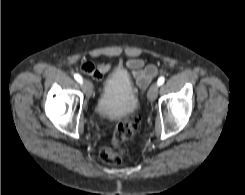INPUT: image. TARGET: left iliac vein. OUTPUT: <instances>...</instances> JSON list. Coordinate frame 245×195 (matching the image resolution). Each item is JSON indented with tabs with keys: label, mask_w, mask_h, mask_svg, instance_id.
<instances>
[{
	"label": "left iliac vein",
	"mask_w": 245,
	"mask_h": 195,
	"mask_svg": "<svg viewBox=\"0 0 245 195\" xmlns=\"http://www.w3.org/2000/svg\"><path fill=\"white\" fill-rule=\"evenodd\" d=\"M158 89H159V86L157 83L152 84L151 87L149 88L148 99L150 102H153L156 99L157 94H158Z\"/></svg>",
	"instance_id": "left-iliac-vein-1"
}]
</instances>
